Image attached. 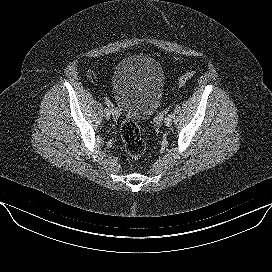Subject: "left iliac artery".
<instances>
[{
	"label": "left iliac artery",
	"mask_w": 272,
	"mask_h": 272,
	"mask_svg": "<svg viewBox=\"0 0 272 272\" xmlns=\"http://www.w3.org/2000/svg\"><path fill=\"white\" fill-rule=\"evenodd\" d=\"M172 115H173V112L172 111H168L167 112V119H172Z\"/></svg>",
	"instance_id": "left-iliac-artery-1"
}]
</instances>
